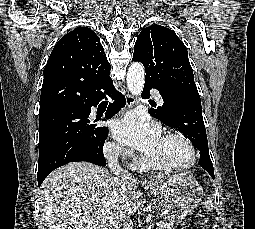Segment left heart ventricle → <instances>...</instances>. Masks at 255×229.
Wrapping results in <instances>:
<instances>
[{
  "label": "left heart ventricle",
  "instance_id": "obj_1",
  "mask_svg": "<svg viewBox=\"0 0 255 229\" xmlns=\"http://www.w3.org/2000/svg\"><path fill=\"white\" fill-rule=\"evenodd\" d=\"M145 156L167 165H182L190 159L188 148L180 141L161 136L156 145Z\"/></svg>",
  "mask_w": 255,
  "mask_h": 229
}]
</instances>
